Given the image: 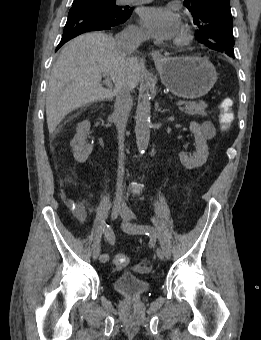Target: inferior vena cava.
<instances>
[{"instance_id": "inferior-vena-cava-1", "label": "inferior vena cava", "mask_w": 261, "mask_h": 340, "mask_svg": "<svg viewBox=\"0 0 261 340\" xmlns=\"http://www.w3.org/2000/svg\"><path fill=\"white\" fill-rule=\"evenodd\" d=\"M144 34L136 28H127L115 36L118 51L124 55L133 53L144 40ZM116 101L114 104L113 118L118 132L119 157L117 172L116 198L123 195L122 182L124 175V132L128 116L132 107L131 88L127 83H121L116 87Z\"/></svg>"}]
</instances>
